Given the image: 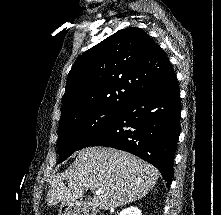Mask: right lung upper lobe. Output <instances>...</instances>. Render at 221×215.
<instances>
[{
	"instance_id": "1",
	"label": "right lung upper lobe",
	"mask_w": 221,
	"mask_h": 215,
	"mask_svg": "<svg viewBox=\"0 0 221 215\" xmlns=\"http://www.w3.org/2000/svg\"><path fill=\"white\" fill-rule=\"evenodd\" d=\"M172 72L168 57L142 29L119 30L75 61L62 97L61 118L92 108L120 110Z\"/></svg>"
}]
</instances>
